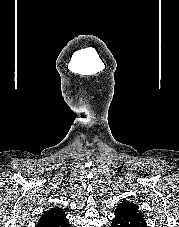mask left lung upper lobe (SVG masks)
<instances>
[{
  "label": "left lung upper lobe",
  "instance_id": "left-lung-upper-lobe-1",
  "mask_svg": "<svg viewBox=\"0 0 179 227\" xmlns=\"http://www.w3.org/2000/svg\"><path fill=\"white\" fill-rule=\"evenodd\" d=\"M112 223L115 227H147L138 205L127 201L118 205Z\"/></svg>",
  "mask_w": 179,
  "mask_h": 227
}]
</instances>
